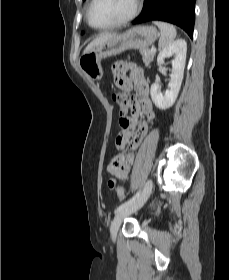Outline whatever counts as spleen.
<instances>
[{
    "label": "spleen",
    "mask_w": 229,
    "mask_h": 280,
    "mask_svg": "<svg viewBox=\"0 0 229 280\" xmlns=\"http://www.w3.org/2000/svg\"><path fill=\"white\" fill-rule=\"evenodd\" d=\"M155 25L158 26V28L161 31V37L159 39V47L166 48L169 46L173 40L176 37V29L173 25L161 21H154Z\"/></svg>",
    "instance_id": "1"
}]
</instances>
